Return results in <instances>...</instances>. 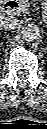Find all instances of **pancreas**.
Listing matches in <instances>:
<instances>
[{"label": "pancreas", "mask_w": 47, "mask_h": 129, "mask_svg": "<svg viewBox=\"0 0 47 129\" xmlns=\"http://www.w3.org/2000/svg\"><path fill=\"white\" fill-rule=\"evenodd\" d=\"M27 1H28V0H20V2H21L22 4H24V8L27 7Z\"/></svg>", "instance_id": "1"}]
</instances>
